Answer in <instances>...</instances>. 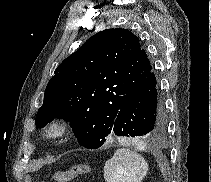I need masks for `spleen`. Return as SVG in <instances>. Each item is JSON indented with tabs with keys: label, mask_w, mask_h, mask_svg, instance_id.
<instances>
[{
	"label": "spleen",
	"mask_w": 211,
	"mask_h": 182,
	"mask_svg": "<svg viewBox=\"0 0 211 182\" xmlns=\"http://www.w3.org/2000/svg\"><path fill=\"white\" fill-rule=\"evenodd\" d=\"M148 165L145 159L130 149H117L104 166L105 182H141Z\"/></svg>",
	"instance_id": "3e777b00"
}]
</instances>
